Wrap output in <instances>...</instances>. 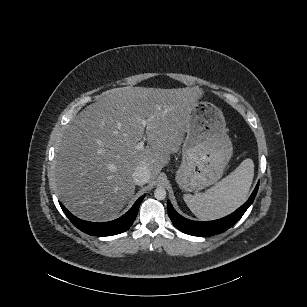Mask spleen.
<instances>
[{
  "label": "spleen",
  "instance_id": "obj_1",
  "mask_svg": "<svg viewBox=\"0 0 307 307\" xmlns=\"http://www.w3.org/2000/svg\"><path fill=\"white\" fill-rule=\"evenodd\" d=\"M254 177V162L247 158L228 176L204 193L184 194L192 213L201 220H216L229 215L246 200Z\"/></svg>",
  "mask_w": 307,
  "mask_h": 307
}]
</instances>
